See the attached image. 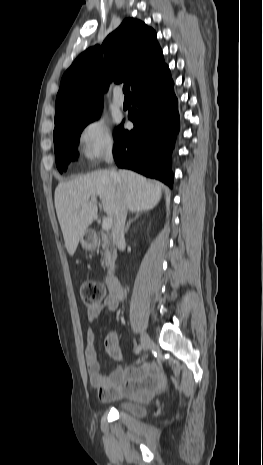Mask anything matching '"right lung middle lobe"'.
I'll return each instance as SVG.
<instances>
[{"label": "right lung middle lobe", "instance_id": "dd1d6c3e", "mask_svg": "<svg viewBox=\"0 0 263 465\" xmlns=\"http://www.w3.org/2000/svg\"><path fill=\"white\" fill-rule=\"evenodd\" d=\"M103 105L77 110L55 123L53 132L56 165L60 172L78 157L77 145L84 127L100 116Z\"/></svg>", "mask_w": 263, "mask_h": 465}]
</instances>
